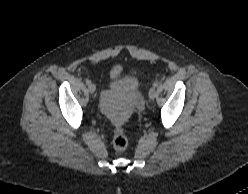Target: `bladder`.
Returning <instances> with one entry per match:
<instances>
[{
  "label": "bladder",
  "mask_w": 248,
  "mask_h": 194,
  "mask_svg": "<svg viewBox=\"0 0 248 194\" xmlns=\"http://www.w3.org/2000/svg\"><path fill=\"white\" fill-rule=\"evenodd\" d=\"M139 88L137 79L126 76L112 82L110 90L113 93H135Z\"/></svg>",
  "instance_id": "bladder-1"
}]
</instances>
